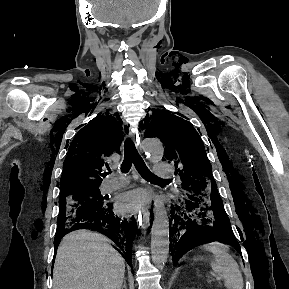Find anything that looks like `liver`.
Masks as SVG:
<instances>
[{"instance_id": "6515ba94", "label": "liver", "mask_w": 289, "mask_h": 289, "mask_svg": "<svg viewBox=\"0 0 289 289\" xmlns=\"http://www.w3.org/2000/svg\"><path fill=\"white\" fill-rule=\"evenodd\" d=\"M124 273V259L106 237L76 230L58 247L53 289H121Z\"/></svg>"}]
</instances>
